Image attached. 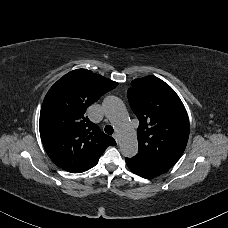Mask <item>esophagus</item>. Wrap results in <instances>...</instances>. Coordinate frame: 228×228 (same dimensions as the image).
Instances as JSON below:
<instances>
[{
	"instance_id": "esophagus-1",
	"label": "esophagus",
	"mask_w": 228,
	"mask_h": 228,
	"mask_svg": "<svg viewBox=\"0 0 228 228\" xmlns=\"http://www.w3.org/2000/svg\"><path fill=\"white\" fill-rule=\"evenodd\" d=\"M113 138L115 139L116 142H118V135L117 134H113Z\"/></svg>"
}]
</instances>
